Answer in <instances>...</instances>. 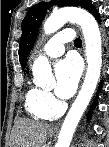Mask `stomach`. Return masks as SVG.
Wrapping results in <instances>:
<instances>
[{"label":"stomach","instance_id":"0dacf381","mask_svg":"<svg viewBox=\"0 0 109 147\" xmlns=\"http://www.w3.org/2000/svg\"><path fill=\"white\" fill-rule=\"evenodd\" d=\"M49 136H53V133L52 132H49Z\"/></svg>","mask_w":109,"mask_h":147}]
</instances>
